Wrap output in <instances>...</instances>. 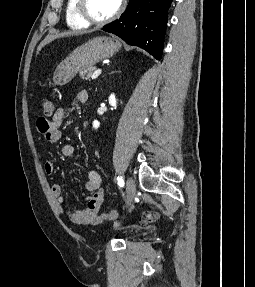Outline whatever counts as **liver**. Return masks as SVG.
<instances>
[{"instance_id": "obj_1", "label": "liver", "mask_w": 255, "mask_h": 287, "mask_svg": "<svg viewBox=\"0 0 255 287\" xmlns=\"http://www.w3.org/2000/svg\"><path fill=\"white\" fill-rule=\"evenodd\" d=\"M76 32H63V34H56V36H46L45 40L39 44L37 48V54L41 52L42 48L46 46V44H50V42H53V40H56V38H64V36H75ZM87 34V32H86Z\"/></svg>"}]
</instances>
